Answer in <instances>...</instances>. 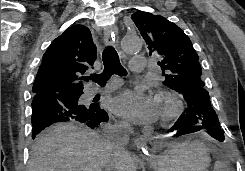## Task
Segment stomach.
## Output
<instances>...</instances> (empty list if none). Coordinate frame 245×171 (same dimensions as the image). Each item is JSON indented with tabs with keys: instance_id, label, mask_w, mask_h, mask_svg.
<instances>
[{
	"instance_id": "obj_1",
	"label": "stomach",
	"mask_w": 245,
	"mask_h": 171,
	"mask_svg": "<svg viewBox=\"0 0 245 171\" xmlns=\"http://www.w3.org/2000/svg\"><path fill=\"white\" fill-rule=\"evenodd\" d=\"M213 147L201 139L170 145L149 160L155 171H208Z\"/></svg>"
}]
</instances>
